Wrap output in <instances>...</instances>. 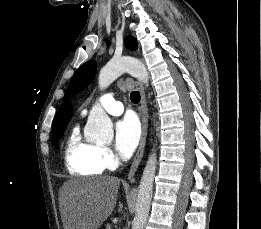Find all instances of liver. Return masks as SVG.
Segmentation results:
<instances>
[{
  "label": "liver",
  "instance_id": "6515ba94",
  "mask_svg": "<svg viewBox=\"0 0 261 229\" xmlns=\"http://www.w3.org/2000/svg\"><path fill=\"white\" fill-rule=\"evenodd\" d=\"M120 179L93 177L64 185L65 229H99L116 205Z\"/></svg>",
  "mask_w": 261,
  "mask_h": 229
}]
</instances>
